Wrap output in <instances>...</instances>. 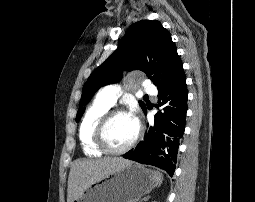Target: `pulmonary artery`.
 <instances>
[{"instance_id":"pulmonary-artery-1","label":"pulmonary artery","mask_w":255,"mask_h":202,"mask_svg":"<svg viewBox=\"0 0 255 202\" xmlns=\"http://www.w3.org/2000/svg\"><path fill=\"white\" fill-rule=\"evenodd\" d=\"M142 88L148 94H154L156 91L155 87L148 80H144L142 82ZM121 93H122V91H121L120 86H118L116 84H112V85H107V86L103 87L99 91L97 97L100 100H102L103 102L112 106L115 104V102L117 101V99L121 95Z\"/></svg>"}]
</instances>
